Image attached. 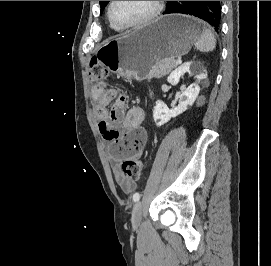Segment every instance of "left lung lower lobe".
Returning <instances> with one entry per match:
<instances>
[{
	"instance_id": "left-lung-lower-lobe-1",
	"label": "left lung lower lobe",
	"mask_w": 271,
	"mask_h": 266,
	"mask_svg": "<svg viewBox=\"0 0 271 266\" xmlns=\"http://www.w3.org/2000/svg\"><path fill=\"white\" fill-rule=\"evenodd\" d=\"M182 13L208 22L218 31L221 19L220 1H170L163 14Z\"/></svg>"
}]
</instances>
